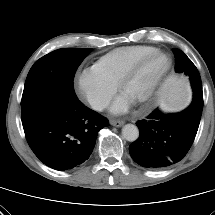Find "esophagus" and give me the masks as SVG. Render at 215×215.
I'll return each instance as SVG.
<instances>
[{
  "mask_svg": "<svg viewBox=\"0 0 215 215\" xmlns=\"http://www.w3.org/2000/svg\"><path fill=\"white\" fill-rule=\"evenodd\" d=\"M110 124L115 127H121L124 122L121 120H110Z\"/></svg>",
  "mask_w": 215,
  "mask_h": 215,
  "instance_id": "obj_1",
  "label": "esophagus"
}]
</instances>
